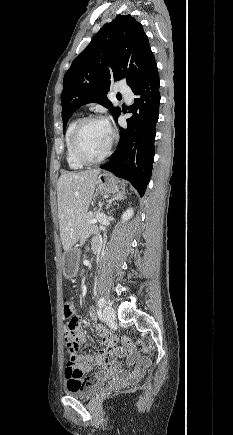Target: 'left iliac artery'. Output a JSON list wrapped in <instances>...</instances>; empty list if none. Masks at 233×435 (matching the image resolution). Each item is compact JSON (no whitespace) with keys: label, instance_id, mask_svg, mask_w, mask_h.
Returning <instances> with one entry per match:
<instances>
[{"label":"left iliac artery","instance_id":"left-iliac-artery-1","mask_svg":"<svg viewBox=\"0 0 233 435\" xmlns=\"http://www.w3.org/2000/svg\"><path fill=\"white\" fill-rule=\"evenodd\" d=\"M97 304H98V307L102 308V307L105 306L106 301H105L104 298H100V299L98 300V303H97Z\"/></svg>","mask_w":233,"mask_h":435}]
</instances>
